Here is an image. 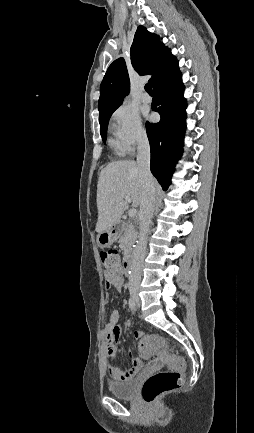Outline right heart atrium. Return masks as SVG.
<instances>
[{
  "instance_id": "1",
  "label": "right heart atrium",
  "mask_w": 254,
  "mask_h": 433,
  "mask_svg": "<svg viewBox=\"0 0 254 433\" xmlns=\"http://www.w3.org/2000/svg\"><path fill=\"white\" fill-rule=\"evenodd\" d=\"M119 152L130 155L148 140L146 129L137 111L128 107L117 108L110 119Z\"/></svg>"
}]
</instances>
